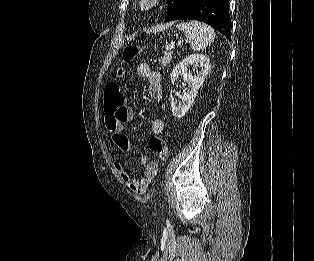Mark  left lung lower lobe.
I'll return each instance as SVG.
<instances>
[{"label":"left lung lower lobe","instance_id":"left-lung-lower-lobe-1","mask_svg":"<svg viewBox=\"0 0 314 261\" xmlns=\"http://www.w3.org/2000/svg\"><path fill=\"white\" fill-rule=\"evenodd\" d=\"M179 19L205 22L231 39L228 0H184L169 21Z\"/></svg>","mask_w":314,"mask_h":261}]
</instances>
